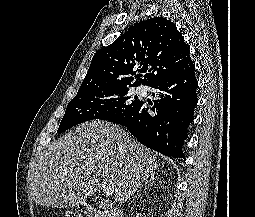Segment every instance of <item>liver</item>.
<instances>
[{"label": "liver", "instance_id": "6515ba94", "mask_svg": "<svg viewBox=\"0 0 255 217\" xmlns=\"http://www.w3.org/2000/svg\"><path fill=\"white\" fill-rule=\"evenodd\" d=\"M157 168L155 153L119 126L85 122L39 154L31 174L32 199L41 206L72 208L106 180L123 204Z\"/></svg>", "mask_w": 255, "mask_h": 217}]
</instances>
